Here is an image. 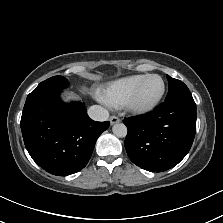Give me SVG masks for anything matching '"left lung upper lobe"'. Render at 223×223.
<instances>
[{
  "label": "left lung upper lobe",
  "instance_id": "5c2ea615",
  "mask_svg": "<svg viewBox=\"0 0 223 223\" xmlns=\"http://www.w3.org/2000/svg\"><path fill=\"white\" fill-rule=\"evenodd\" d=\"M169 82L168 94L165 101L170 100H193V97L188 89V87L180 80L171 78L167 75Z\"/></svg>",
  "mask_w": 223,
  "mask_h": 223
}]
</instances>
